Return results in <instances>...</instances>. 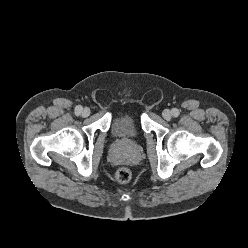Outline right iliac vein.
<instances>
[{"label":"right iliac vein","mask_w":248,"mask_h":248,"mask_svg":"<svg viewBox=\"0 0 248 248\" xmlns=\"http://www.w3.org/2000/svg\"><path fill=\"white\" fill-rule=\"evenodd\" d=\"M83 117H87L90 115V109L89 108H84L81 112Z\"/></svg>","instance_id":"obj_1"}]
</instances>
